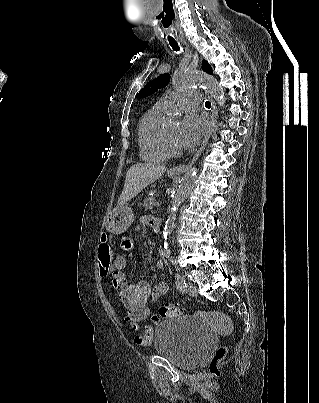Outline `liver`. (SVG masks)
Here are the masks:
<instances>
[{"instance_id":"obj_1","label":"liver","mask_w":319,"mask_h":403,"mask_svg":"<svg viewBox=\"0 0 319 403\" xmlns=\"http://www.w3.org/2000/svg\"><path fill=\"white\" fill-rule=\"evenodd\" d=\"M165 171V166L152 163H138L131 166L127 171L124 188L117 206L125 205L149 184L160 178Z\"/></svg>"}]
</instances>
